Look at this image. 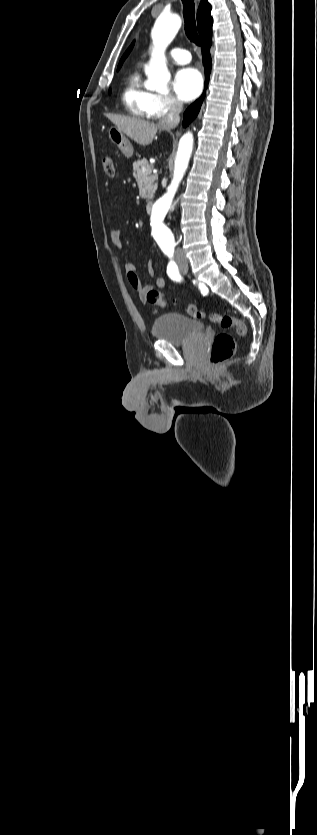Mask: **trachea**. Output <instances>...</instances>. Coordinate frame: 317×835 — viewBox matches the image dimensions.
Segmentation results:
<instances>
[{
	"instance_id": "3493384b",
	"label": "trachea",
	"mask_w": 317,
	"mask_h": 835,
	"mask_svg": "<svg viewBox=\"0 0 317 835\" xmlns=\"http://www.w3.org/2000/svg\"><path fill=\"white\" fill-rule=\"evenodd\" d=\"M183 3V16L185 22V32L188 39L195 43L196 45H200V38L196 30V21H195V3L194 0H182Z\"/></svg>"
}]
</instances>
